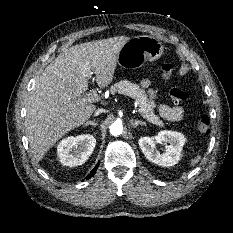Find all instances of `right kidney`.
<instances>
[{
    "mask_svg": "<svg viewBox=\"0 0 233 233\" xmlns=\"http://www.w3.org/2000/svg\"><path fill=\"white\" fill-rule=\"evenodd\" d=\"M96 139L90 134L70 136L63 139L57 147L60 162L65 166H78L85 163L92 154Z\"/></svg>",
    "mask_w": 233,
    "mask_h": 233,
    "instance_id": "right-kidney-1",
    "label": "right kidney"
}]
</instances>
